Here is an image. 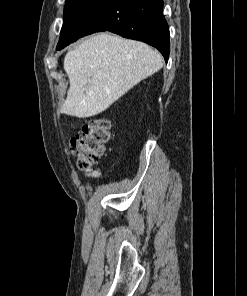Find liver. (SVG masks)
Returning a JSON list of instances; mask_svg holds the SVG:
<instances>
[{"instance_id":"liver-1","label":"liver","mask_w":247,"mask_h":296,"mask_svg":"<svg viewBox=\"0 0 247 296\" xmlns=\"http://www.w3.org/2000/svg\"><path fill=\"white\" fill-rule=\"evenodd\" d=\"M162 67L160 53L145 43L93 35L64 58L70 87L61 112L78 118L98 115Z\"/></svg>"}]
</instances>
